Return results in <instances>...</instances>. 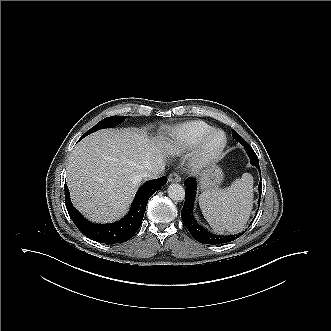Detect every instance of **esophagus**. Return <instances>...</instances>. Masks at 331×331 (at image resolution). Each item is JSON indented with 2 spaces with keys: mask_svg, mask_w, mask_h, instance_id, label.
<instances>
[{
  "mask_svg": "<svg viewBox=\"0 0 331 331\" xmlns=\"http://www.w3.org/2000/svg\"><path fill=\"white\" fill-rule=\"evenodd\" d=\"M168 181L169 182H180L181 181V177L178 173L173 172L169 175L168 177Z\"/></svg>",
  "mask_w": 331,
  "mask_h": 331,
  "instance_id": "34e87169",
  "label": "esophagus"
}]
</instances>
